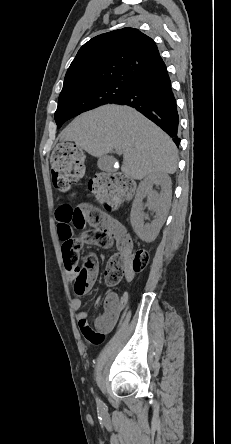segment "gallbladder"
Returning <instances> with one entry per match:
<instances>
[{"instance_id":"1","label":"gallbladder","mask_w":231,"mask_h":444,"mask_svg":"<svg viewBox=\"0 0 231 444\" xmlns=\"http://www.w3.org/2000/svg\"><path fill=\"white\" fill-rule=\"evenodd\" d=\"M102 161H103V158L99 162L100 167H102Z\"/></svg>"}]
</instances>
